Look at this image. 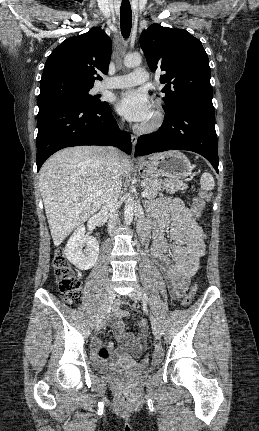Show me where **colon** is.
<instances>
[{
    "label": "colon",
    "instance_id": "obj_1",
    "mask_svg": "<svg viewBox=\"0 0 259 431\" xmlns=\"http://www.w3.org/2000/svg\"><path fill=\"white\" fill-rule=\"evenodd\" d=\"M211 198V195L207 191H202L195 199L192 204V211L194 213V217L197 220H201L204 217V214L201 212L204 208V203L208 202ZM54 265V277L57 282V286L59 291L64 296L65 300L68 303H74L80 299L81 296V282L74 270L66 260L64 252L59 250L54 257L53 260ZM196 294V284H192L186 293L183 299V305L189 306ZM150 360L149 355H145L142 358V363L147 364Z\"/></svg>",
    "mask_w": 259,
    "mask_h": 431
}]
</instances>
